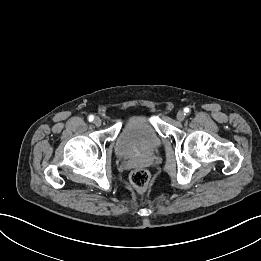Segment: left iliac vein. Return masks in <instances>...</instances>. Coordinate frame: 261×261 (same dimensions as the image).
I'll return each mask as SVG.
<instances>
[{
	"label": "left iliac vein",
	"instance_id": "1",
	"mask_svg": "<svg viewBox=\"0 0 261 261\" xmlns=\"http://www.w3.org/2000/svg\"><path fill=\"white\" fill-rule=\"evenodd\" d=\"M185 117H186V114H185L183 111H179V112L177 113V119H178L179 121H183V120L185 119Z\"/></svg>",
	"mask_w": 261,
	"mask_h": 261
}]
</instances>
